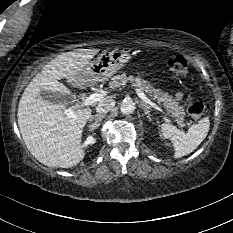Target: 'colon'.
<instances>
[{
    "instance_id": "colon-1",
    "label": "colon",
    "mask_w": 233,
    "mask_h": 233,
    "mask_svg": "<svg viewBox=\"0 0 233 233\" xmlns=\"http://www.w3.org/2000/svg\"><path fill=\"white\" fill-rule=\"evenodd\" d=\"M168 66L177 75L185 76L187 74V61L181 55H172L169 57ZM205 103L202 100H189L187 103L188 113L193 117H200L205 111Z\"/></svg>"
}]
</instances>
